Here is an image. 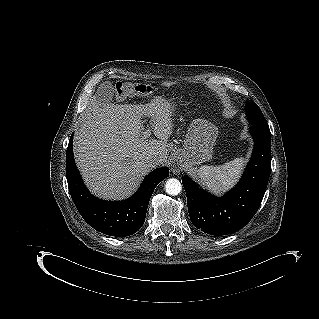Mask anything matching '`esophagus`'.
<instances>
[{
    "label": "esophagus",
    "mask_w": 319,
    "mask_h": 319,
    "mask_svg": "<svg viewBox=\"0 0 319 319\" xmlns=\"http://www.w3.org/2000/svg\"><path fill=\"white\" fill-rule=\"evenodd\" d=\"M171 170L173 173H179L181 170V167L179 165H172Z\"/></svg>",
    "instance_id": "1"
}]
</instances>
